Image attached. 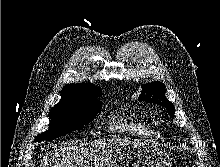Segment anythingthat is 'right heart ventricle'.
Returning a JSON list of instances; mask_svg holds the SVG:
<instances>
[{
  "label": "right heart ventricle",
  "instance_id": "right-heart-ventricle-1",
  "mask_svg": "<svg viewBox=\"0 0 220 167\" xmlns=\"http://www.w3.org/2000/svg\"><path fill=\"white\" fill-rule=\"evenodd\" d=\"M109 130L113 133L137 138H148L154 135V129L150 123L127 116H122L109 123Z\"/></svg>",
  "mask_w": 220,
  "mask_h": 167
}]
</instances>
